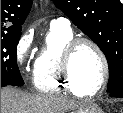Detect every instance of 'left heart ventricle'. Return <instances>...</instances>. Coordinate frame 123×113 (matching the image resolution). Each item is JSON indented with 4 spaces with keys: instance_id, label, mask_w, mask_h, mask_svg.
I'll return each instance as SVG.
<instances>
[{
    "instance_id": "left-heart-ventricle-1",
    "label": "left heart ventricle",
    "mask_w": 123,
    "mask_h": 113,
    "mask_svg": "<svg viewBox=\"0 0 123 113\" xmlns=\"http://www.w3.org/2000/svg\"><path fill=\"white\" fill-rule=\"evenodd\" d=\"M71 71L74 83L86 92L93 91L102 79V64L96 51L82 45L72 59Z\"/></svg>"
}]
</instances>
